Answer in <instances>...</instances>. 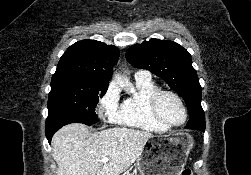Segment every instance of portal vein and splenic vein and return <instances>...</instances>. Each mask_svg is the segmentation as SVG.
I'll use <instances>...</instances> for the list:
<instances>
[{"mask_svg": "<svg viewBox=\"0 0 251 175\" xmlns=\"http://www.w3.org/2000/svg\"><path fill=\"white\" fill-rule=\"evenodd\" d=\"M100 161H102V163H106V161H109V157H102Z\"/></svg>", "mask_w": 251, "mask_h": 175, "instance_id": "portal-vein-and-splenic-vein-1", "label": "portal vein and splenic vein"}]
</instances>
